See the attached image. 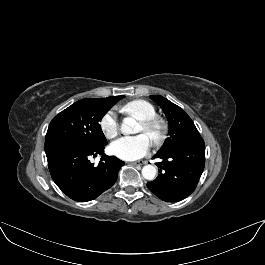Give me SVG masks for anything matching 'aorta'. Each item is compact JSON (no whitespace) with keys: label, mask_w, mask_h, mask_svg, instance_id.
I'll list each match as a JSON object with an SVG mask.
<instances>
[{"label":"aorta","mask_w":265,"mask_h":265,"mask_svg":"<svg viewBox=\"0 0 265 265\" xmlns=\"http://www.w3.org/2000/svg\"><path fill=\"white\" fill-rule=\"evenodd\" d=\"M141 129L140 124L131 117L124 118L121 123V131L124 134H135ZM157 169L153 165H146L142 168V176L147 180H153L156 176Z\"/></svg>","instance_id":"obj_1"}]
</instances>
